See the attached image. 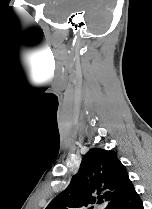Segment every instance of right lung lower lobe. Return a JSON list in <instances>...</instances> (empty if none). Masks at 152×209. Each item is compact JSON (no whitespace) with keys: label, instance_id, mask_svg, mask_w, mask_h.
Segmentation results:
<instances>
[{"label":"right lung lower lobe","instance_id":"98d812e1","mask_svg":"<svg viewBox=\"0 0 152 209\" xmlns=\"http://www.w3.org/2000/svg\"><path fill=\"white\" fill-rule=\"evenodd\" d=\"M110 209H144L142 200L136 193L132 186L129 191L116 203H114Z\"/></svg>","mask_w":152,"mask_h":209}]
</instances>
